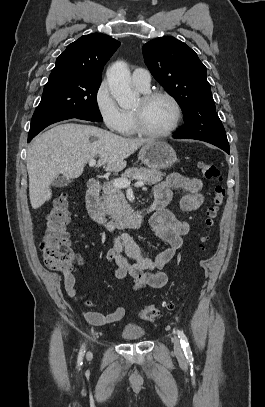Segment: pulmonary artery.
<instances>
[{
	"instance_id": "pulmonary-artery-1",
	"label": "pulmonary artery",
	"mask_w": 265,
	"mask_h": 407,
	"mask_svg": "<svg viewBox=\"0 0 265 407\" xmlns=\"http://www.w3.org/2000/svg\"><path fill=\"white\" fill-rule=\"evenodd\" d=\"M132 83L133 85L145 91L150 87L151 75L150 72L143 68H137L132 72Z\"/></svg>"
}]
</instances>
